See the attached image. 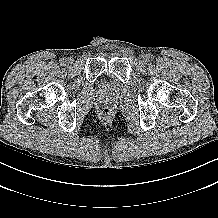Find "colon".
<instances>
[{
  "label": "colon",
  "instance_id": "obj_1",
  "mask_svg": "<svg viewBox=\"0 0 218 218\" xmlns=\"http://www.w3.org/2000/svg\"><path fill=\"white\" fill-rule=\"evenodd\" d=\"M100 114L103 118H109V116L111 115V111L108 108H103Z\"/></svg>",
  "mask_w": 218,
  "mask_h": 218
}]
</instances>
